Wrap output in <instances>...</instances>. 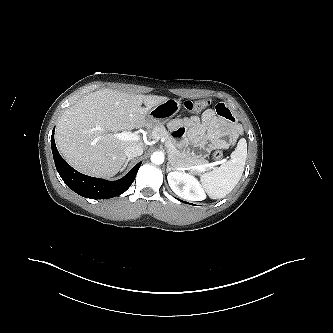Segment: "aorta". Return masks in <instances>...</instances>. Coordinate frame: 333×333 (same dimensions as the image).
<instances>
[{"label":"aorta","mask_w":333,"mask_h":333,"mask_svg":"<svg viewBox=\"0 0 333 333\" xmlns=\"http://www.w3.org/2000/svg\"><path fill=\"white\" fill-rule=\"evenodd\" d=\"M151 162L160 165L164 162V155L161 152H155L151 155Z\"/></svg>","instance_id":"762f6f07"}]
</instances>
